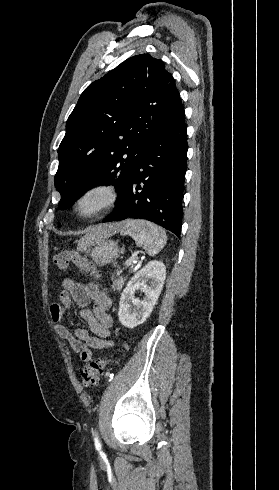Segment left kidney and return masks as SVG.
I'll use <instances>...</instances> for the list:
<instances>
[{"label":"left kidney","mask_w":279,"mask_h":490,"mask_svg":"<svg viewBox=\"0 0 279 490\" xmlns=\"http://www.w3.org/2000/svg\"><path fill=\"white\" fill-rule=\"evenodd\" d=\"M166 280L163 262L152 260L134 274L120 296L118 320L125 328H136L149 318ZM137 290L145 294L143 300L135 298Z\"/></svg>","instance_id":"obj_1"}]
</instances>
